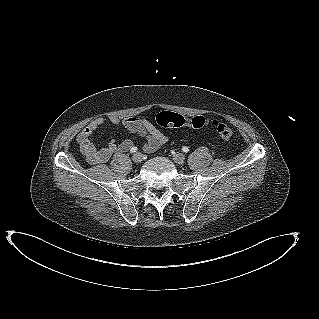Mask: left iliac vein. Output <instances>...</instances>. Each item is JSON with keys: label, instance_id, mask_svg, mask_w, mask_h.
I'll return each mask as SVG.
<instances>
[{"label": "left iliac vein", "instance_id": "obj_1", "mask_svg": "<svg viewBox=\"0 0 319 319\" xmlns=\"http://www.w3.org/2000/svg\"><path fill=\"white\" fill-rule=\"evenodd\" d=\"M173 160L177 164H183L185 161V155L182 153H176L173 155Z\"/></svg>", "mask_w": 319, "mask_h": 319}]
</instances>
